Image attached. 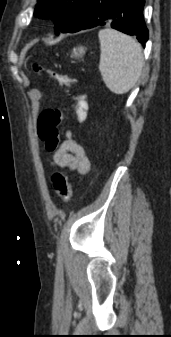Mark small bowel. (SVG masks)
I'll list each match as a JSON object with an SVG mask.
<instances>
[{
	"mask_svg": "<svg viewBox=\"0 0 171 337\" xmlns=\"http://www.w3.org/2000/svg\"><path fill=\"white\" fill-rule=\"evenodd\" d=\"M50 164L81 175L88 174L91 170V162L84 147L72 138L69 130L65 133L64 142L50 156Z\"/></svg>",
	"mask_w": 171,
	"mask_h": 337,
	"instance_id": "1",
	"label": "small bowel"
}]
</instances>
